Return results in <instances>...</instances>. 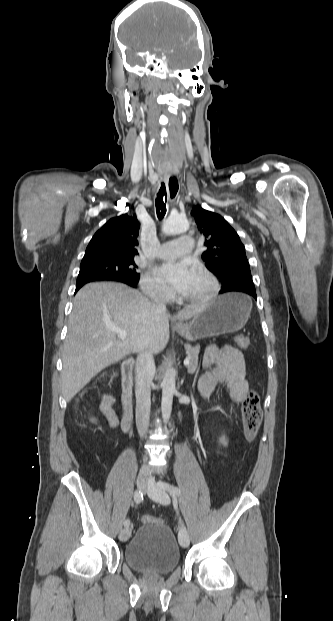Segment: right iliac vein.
I'll list each match as a JSON object with an SVG mask.
<instances>
[{"label":"right iliac vein","mask_w":333,"mask_h":621,"mask_svg":"<svg viewBox=\"0 0 333 621\" xmlns=\"http://www.w3.org/2000/svg\"><path fill=\"white\" fill-rule=\"evenodd\" d=\"M137 488L143 492L146 491L147 488V471L145 469H140L138 476H137ZM131 527H126L124 529L121 530L120 534H119V539L122 542H125L129 539L130 535H131Z\"/></svg>","instance_id":"obj_1"}]
</instances>
